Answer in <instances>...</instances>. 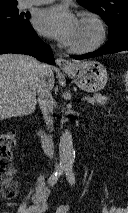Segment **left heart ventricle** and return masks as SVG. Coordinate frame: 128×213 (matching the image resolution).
Here are the masks:
<instances>
[{
	"instance_id": "obj_1",
	"label": "left heart ventricle",
	"mask_w": 128,
	"mask_h": 213,
	"mask_svg": "<svg viewBox=\"0 0 128 213\" xmlns=\"http://www.w3.org/2000/svg\"><path fill=\"white\" fill-rule=\"evenodd\" d=\"M97 37L95 25L86 20H79L75 36L70 46H85L93 42Z\"/></svg>"
}]
</instances>
